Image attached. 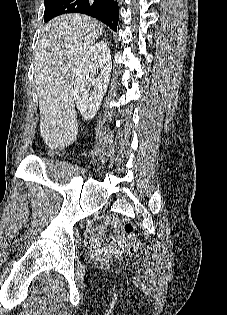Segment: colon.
<instances>
[{
	"label": "colon",
	"instance_id": "obj_1",
	"mask_svg": "<svg viewBox=\"0 0 227 315\" xmlns=\"http://www.w3.org/2000/svg\"><path fill=\"white\" fill-rule=\"evenodd\" d=\"M119 226L123 233L125 240L127 241V251L134 255L139 249L140 242L135 236V226L129 219H120Z\"/></svg>",
	"mask_w": 227,
	"mask_h": 315
}]
</instances>
